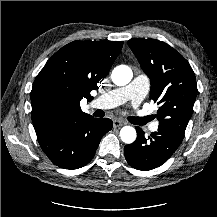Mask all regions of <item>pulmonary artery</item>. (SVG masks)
I'll return each mask as SVG.
<instances>
[{"mask_svg":"<svg viewBox=\"0 0 217 217\" xmlns=\"http://www.w3.org/2000/svg\"><path fill=\"white\" fill-rule=\"evenodd\" d=\"M149 86L150 84L147 76L140 74L127 86L111 90L99 96L92 102L91 106L93 108L105 110L115 108L127 101L135 106L144 99L149 91ZM158 128L159 124L157 122H153L149 126V129L152 132H156Z\"/></svg>","mask_w":217,"mask_h":217,"instance_id":"pulmonary-artery-1","label":"pulmonary artery"}]
</instances>
